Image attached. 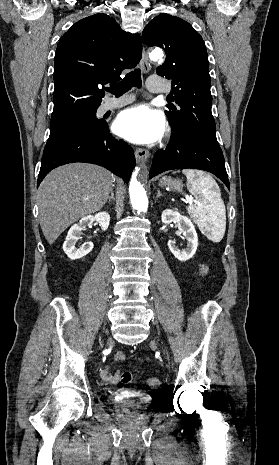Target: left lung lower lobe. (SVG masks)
<instances>
[{"label": "left lung lower lobe", "instance_id": "1", "mask_svg": "<svg viewBox=\"0 0 279 465\" xmlns=\"http://www.w3.org/2000/svg\"><path fill=\"white\" fill-rule=\"evenodd\" d=\"M185 168L211 172L229 189L225 161L219 144L190 132L171 136L167 147L154 156L149 177L167 170Z\"/></svg>", "mask_w": 279, "mask_h": 465}]
</instances>
